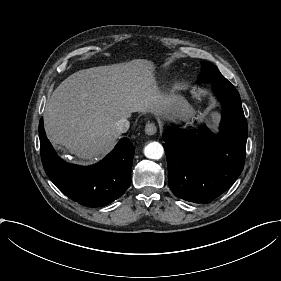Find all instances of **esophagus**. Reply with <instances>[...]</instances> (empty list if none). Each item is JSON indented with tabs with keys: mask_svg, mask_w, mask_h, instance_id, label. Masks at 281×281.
<instances>
[{
	"mask_svg": "<svg viewBox=\"0 0 281 281\" xmlns=\"http://www.w3.org/2000/svg\"><path fill=\"white\" fill-rule=\"evenodd\" d=\"M144 130L147 135H154L157 132V127L153 122H149L145 125Z\"/></svg>",
	"mask_w": 281,
	"mask_h": 281,
	"instance_id": "obj_1",
	"label": "esophagus"
}]
</instances>
